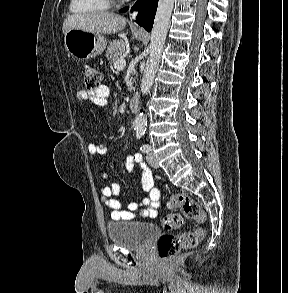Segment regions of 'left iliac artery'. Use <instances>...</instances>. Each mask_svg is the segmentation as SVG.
<instances>
[{
    "instance_id": "1",
    "label": "left iliac artery",
    "mask_w": 288,
    "mask_h": 293,
    "mask_svg": "<svg viewBox=\"0 0 288 293\" xmlns=\"http://www.w3.org/2000/svg\"><path fill=\"white\" fill-rule=\"evenodd\" d=\"M145 131L141 130V129H138L136 131V137L137 139H140L142 138V136L144 135ZM140 150L142 152H145V153H148L150 150H151V147L148 145V144H143L141 147H140Z\"/></svg>"
}]
</instances>
